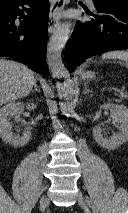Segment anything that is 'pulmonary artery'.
I'll list each match as a JSON object with an SVG mask.
<instances>
[{
	"label": "pulmonary artery",
	"instance_id": "1",
	"mask_svg": "<svg viewBox=\"0 0 128 213\" xmlns=\"http://www.w3.org/2000/svg\"><path fill=\"white\" fill-rule=\"evenodd\" d=\"M86 1L88 2V4H89L90 6L93 7V1H92V0H86Z\"/></svg>",
	"mask_w": 128,
	"mask_h": 213
}]
</instances>
